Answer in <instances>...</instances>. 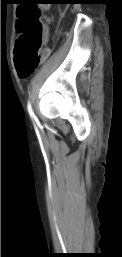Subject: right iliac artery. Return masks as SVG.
Segmentation results:
<instances>
[{
	"mask_svg": "<svg viewBox=\"0 0 122 257\" xmlns=\"http://www.w3.org/2000/svg\"><path fill=\"white\" fill-rule=\"evenodd\" d=\"M28 112H29L30 117L32 118V120L37 121V118H36V116H35V114H34V112L32 110L30 102H28Z\"/></svg>",
	"mask_w": 122,
	"mask_h": 257,
	"instance_id": "right-iliac-artery-1",
	"label": "right iliac artery"
}]
</instances>
